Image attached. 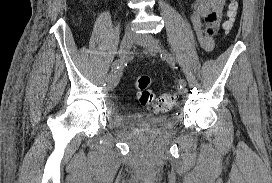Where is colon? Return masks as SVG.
Here are the masks:
<instances>
[{
  "label": "colon",
  "instance_id": "obj_1",
  "mask_svg": "<svg viewBox=\"0 0 272 183\" xmlns=\"http://www.w3.org/2000/svg\"><path fill=\"white\" fill-rule=\"evenodd\" d=\"M238 12V1L230 0L226 9V20L224 22V29L230 31L234 25ZM151 85V78L148 75H140L137 77L135 86L138 90L140 103L154 111L165 112L173 107L176 97L174 94L165 93L160 96L149 90Z\"/></svg>",
  "mask_w": 272,
  "mask_h": 183
}]
</instances>
